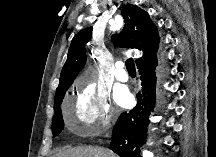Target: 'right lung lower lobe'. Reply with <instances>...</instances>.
Listing matches in <instances>:
<instances>
[{
    "label": "right lung lower lobe",
    "mask_w": 216,
    "mask_h": 157,
    "mask_svg": "<svg viewBox=\"0 0 216 157\" xmlns=\"http://www.w3.org/2000/svg\"><path fill=\"white\" fill-rule=\"evenodd\" d=\"M157 55L138 65L142 89L137 94V105L120 115L114 126L111 149L120 157H140L139 148L145 143L149 116L155 106Z\"/></svg>",
    "instance_id": "obj_1"
}]
</instances>
